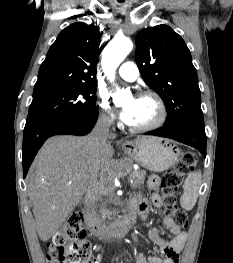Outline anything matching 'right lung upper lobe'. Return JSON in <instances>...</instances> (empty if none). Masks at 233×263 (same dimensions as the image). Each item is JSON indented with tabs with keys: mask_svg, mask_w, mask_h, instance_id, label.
<instances>
[{
	"mask_svg": "<svg viewBox=\"0 0 233 263\" xmlns=\"http://www.w3.org/2000/svg\"><path fill=\"white\" fill-rule=\"evenodd\" d=\"M99 29L77 22L60 32L40 66L33 95L96 84Z\"/></svg>",
	"mask_w": 233,
	"mask_h": 263,
	"instance_id": "obj_1",
	"label": "right lung upper lobe"
}]
</instances>
